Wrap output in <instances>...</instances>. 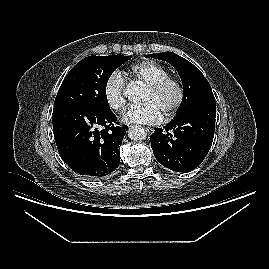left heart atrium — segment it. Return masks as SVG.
Listing matches in <instances>:
<instances>
[{
  "label": "left heart atrium",
  "instance_id": "left-heart-atrium-1",
  "mask_svg": "<svg viewBox=\"0 0 269 269\" xmlns=\"http://www.w3.org/2000/svg\"><path fill=\"white\" fill-rule=\"evenodd\" d=\"M162 114L153 102L140 106H131L122 116L125 123L154 124L160 121Z\"/></svg>",
  "mask_w": 269,
  "mask_h": 269
}]
</instances>
